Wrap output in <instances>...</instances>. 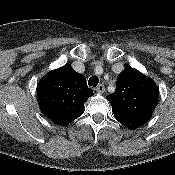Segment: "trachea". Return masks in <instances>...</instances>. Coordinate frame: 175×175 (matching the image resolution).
<instances>
[{
	"label": "trachea",
	"instance_id": "1",
	"mask_svg": "<svg viewBox=\"0 0 175 175\" xmlns=\"http://www.w3.org/2000/svg\"><path fill=\"white\" fill-rule=\"evenodd\" d=\"M98 83H99V79L95 75L90 77L88 80V85L92 86V87H96L98 85Z\"/></svg>",
	"mask_w": 175,
	"mask_h": 175
}]
</instances>
